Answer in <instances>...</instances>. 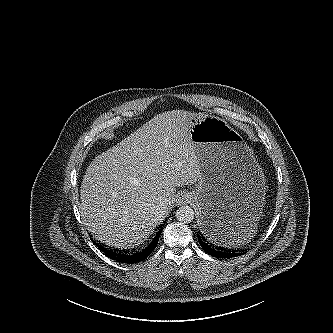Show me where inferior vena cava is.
<instances>
[{
    "label": "inferior vena cava",
    "instance_id": "602c4592",
    "mask_svg": "<svg viewBox=\"0 0 333 333\" xmlns=\"http://www.w3.org/2000/svg\"><path fill=\"white\" fill-rule=\"evenodd\" d=\"M160 212L165 213L166 212V208L165 207H161V209H159Z\"/></svg>",
    "mask_w": 333,
    "mask_h": 333
}]
</instances>
